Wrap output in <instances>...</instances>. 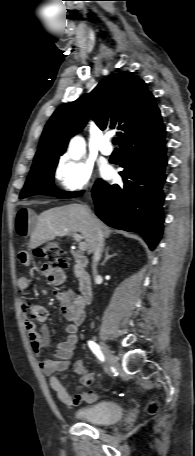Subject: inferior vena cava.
I'll use <instances>...</instances> for the list:
<instances>
[{
	"label": "inferior vena cava",
	"instance_id": "obj_1",
	"mask_svg": "<svg viewBox=\"0 0 195 456\" xmlns=\"http://www.w3.org/2000/svg\"><path fill=\"white\" fill-rule=\"evenodd\" d=\"M95 244H94V256H93V268H94V272H96V265L98 263V261L100 260L101 258V254L103 252V249H104V239H103V235H102V232L100 231L99 228H97V231H96V239H95Z\"/></svg>",
	"mask_w": 195,
	"mask_h": 456
}]
</instances>
